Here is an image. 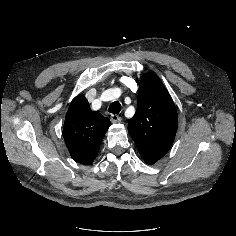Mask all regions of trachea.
Returning a JSON list of instances; mask_svg holds the SVG:
<instances>
[{"mask_svg":"<svg viewBox=\"0 0 236 236\" xmlns=\"http://www.w3.org/2000/svg\"><path fill=\"white\" fill-rule=\"evenodd\" d=\"M108 111L113 114H118L121 111V104L118 101L111 103Z\"/></svg>","mask_w":236,"mask_h":236,"instance_id":"1","label":"trachea"}]
</instances>
